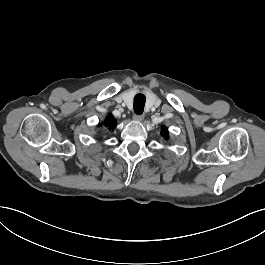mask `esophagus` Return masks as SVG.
Masks as SVG:
<instances>
[{"label": "esophagus", "instance_id": "1", "mask_svg": "<svg viewBox=\"0 0 265 265\" xmlns=\"http://www.w3.org/2000/svg\"><path fill=\"white\" fill-rule=\"evenodd\" d=\"M133 119H134L135 121H142V120L144 119V116H143V115L135 114V115L133 116Z\"/></svg>", "mask_w": 265, "mask_h": 265}]
</instances>
